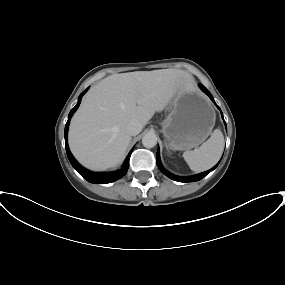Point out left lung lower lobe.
<instances>
[{"mask_svg": "<svg viewBox=\"0 0 285 285\" xmlns=\"http://www.w3.org/2000/svg\"><path fill=\"white\" fill-rule=\"evenodd\" d=\"M199 87L203 90V92H205L209 97L210 99L214 102L213 100V97L212 95L210 94V92L201 84H199ZM215 103V102H214ZM216 105V103H215ZM217 106V105H216ZM218 107V106H217ZM219 108V107H218ZM220 109V108H219ZM222 117H223V114H222ZM224 119V118H223ZM226 125V123H225ZM157 165L160 169V171L162 173H164L167 177L175 180V181H178V182H192V181H198V180H201L202 178H204L209 172H211L213 169H215L217 167L218 164H216L213 168H211L210 170L206 171V172H203V173H200V174H197L195 176H191V177H179V176H176V175H173L171 173H169L168 171H166L162 164H161V160H160V154H159V149H158V152H157Z\"/></svg>", "mask_w": 285, "mask_h": 285, "instance_id": "0a47b994", "label": "left lung lower lobe"}]
</instances>
